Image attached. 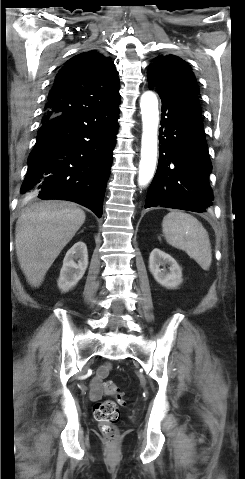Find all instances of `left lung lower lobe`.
<instances>
[{
  "label": "left lung lower lobe",
  "instance_id": "1",
  "mask_svg": "<svg viewBox=\"0 0 245 479\" xmlns=\"http://www.w3.org/2000/svg\"><path fill=\"white\" fill-rule=\"evenodd\" d=\"M159 95L162 101L160 154L145 208L160 206L204 212L212 201L208 180L212 165L198 94L187 91Z\"/></svg>",
  "mask_w": 245,
  "mask_h": 479
}]
</instances>
